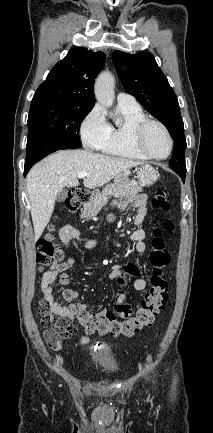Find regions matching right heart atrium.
I'll use <instances>...</instances> for the list:
<instances>
[{"label":"right heart atrium","instance_id":"d8ad5b80","mask_svg":"<svg viewBox=\"0 0 213 433\" xmlns=\"http://www.w3.org/2000/svg\"><path fill=\"white\" fill-rule=\"evenodd\" d=\"M109 124L100 107L94 106L80 125V135L84 146L99 149L107 133Z\"/></svg>","mask_w":213,"mask_h":433}]
</instances>
